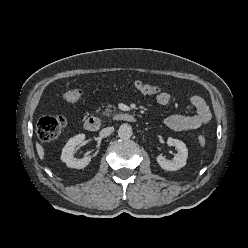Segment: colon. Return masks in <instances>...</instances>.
Listing matches in <instances>:
<instances>
[{
    "label": "colon",
    "instance_id": "1",
    "mask_svg": "<svg viewBox=\"0 0 248 248\" xmlns=\"http://www.w3.org/2000/svg\"><path fill=\"white\" fill-rule=\"evenodd\" d=\"M134 88L146 95H154L159 92V88L155 85L137 81L134 83ZM64 99L69 103H78L83 97V92L79 89H71L64 93ZM66 125L64 117L45 116L37 123V135L42 141H52L59 136ZM198 143L201 147L205 146L206 138L203 135L198 137Z\"/></svg>",
    "mask_w": 248,
    "mask_h": 248
}]
</instances>
